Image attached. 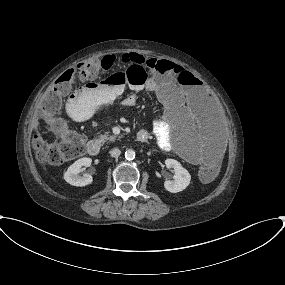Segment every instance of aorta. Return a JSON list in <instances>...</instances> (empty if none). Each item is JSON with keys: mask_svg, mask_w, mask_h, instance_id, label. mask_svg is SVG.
Instances as JSON below:
<instances>
[{"mask_svg": "<svg viewBox=\"0 0 285 285\" xmlns=\"http://www.w3.org/2000/svg\"><path fill=\"white\" fill-rule=\"evenodd\" d=\"M125 158L127 160H133L135 158V151L132 149H128L125 151Z\"/></svg>", "mask_w": 285, "mask_h": 285, "instance_id": "aorta-1", "label": "aorta"}]
</instances>
